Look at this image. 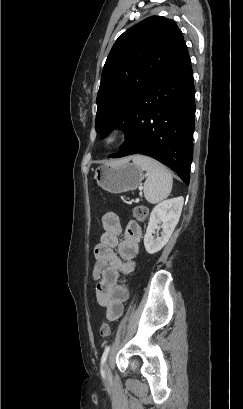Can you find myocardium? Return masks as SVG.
<instances>
[{
    "mask_svg": "<svg viewBox=\"0 0 243 409\" xmlns=\"http://www.w3.org/2000/svg\"><path fill=\"white\" fill-rule=\"evenodd\" d=\"M122 139V132L118 128L109 129L104 137L103 142L107 146H115L117 145Z\"/></svg>",
    "mask_w": 243,
    "mask_h": 409,
    "instance_id": "1",
    "label": "myocardium"
}]
</instances>
